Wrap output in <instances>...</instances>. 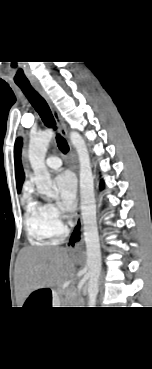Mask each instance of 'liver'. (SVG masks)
I'll use <instances>...</instances> for the list:
<instances>
[{
  "label": "liver",
  "instance_id": "obj_1",
  "mask_svg": "<svg viewBox=\"0 0 152 369\" xmlns=\"http://www.w3.org/2000/svg\"><path fill=\"white\" fill-rule=\"evenodd\" d=\"M18 279L26 294L45 287L58 286L72 275L73 262L63 248L25 247L19 254Z\"/></svg>",
  "mask_w": 152,
  "mask_h": 369
}]
</instances>
